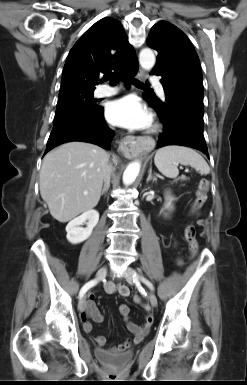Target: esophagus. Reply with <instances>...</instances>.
I'll use <instances>...</instances> for the list:
<instances>
[{
  "label": "esophagus",
  "mask_w": 247,
  "mask_h": 385,
  "mask_svg": "<svg viewBox=\"0 0 247 385\" xmlns=\"http://www.w3.org/2000/svg\"><path fill=\"white\" fill-rule=\"evenodd\" d=\"M143 76L144 72L141 68H139L137 72V77L139 79H143ZM119 148L126 157H132L138 150L142 149L139 139L133 136L123 138L120 141Z\"/></svg>",
  "instance_id": "1"
}]
</instances>
